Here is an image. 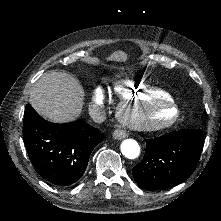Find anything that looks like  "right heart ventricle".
<instances>
[{
  "label": "right heart ventricle",
  "instance_id": "1",
  "mask_svg": "<svg viewBox=\"0 0 221 221\" xmlns=\"http://www.w3.org/2000/svg\"><path fill=\"white\" fill-rule=\"evenodd\" d=\"M111 88L114 95L123 102L130 98L133 102L146 103L153 99L156 103H164L170 101L173 94L171 89H159L158 85H150L148 81L126 76L115 79Z\"/></svg>",
  "mask_w": 221,
  "mask_h": 221
}]
</instances>
